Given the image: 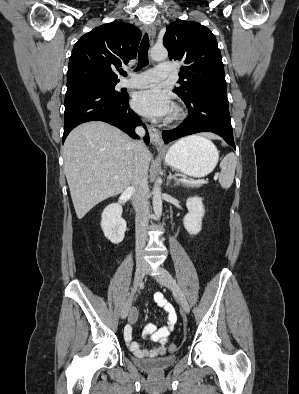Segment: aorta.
<instances>
[{
  "label": "aorta",
  "mask_w": 299,
  "mask_h": 394,
  "mask_svg": "<svg viewBox=\"0 0 299 394\" xmlns=\"http://www.w3.org/2000/svg\"><path fill=\"white\" fill-rule=\"evenodd\" d=\"M151 59L154 61H163L168 57V52L164 47H153L150 52ZM161 179L155 181L153 187V210L156 220H159L162 214V196H161Z\"/></svg>",
  "instance_id": "obj_1"
}]
</instances>
